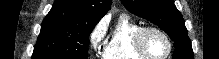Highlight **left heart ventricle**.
I'll list each match as a JSON object with an SVG mask.
<instances>
[{"label":"left heart ventricle","instance_id":"1","mask_svg":"<svg viewBox=\"0 0 219 59\" xmlns=\"http://www.w3.org/2000/svg\"><path fill=\"white\" fill-rule=\"evenodd\" d=\"M144 46L146 51L154 57L163 56L168 49L166 40L156 32H149L145 35Z\"/></svg>","mask_w":219,"mask_h":59}]
</instances>
